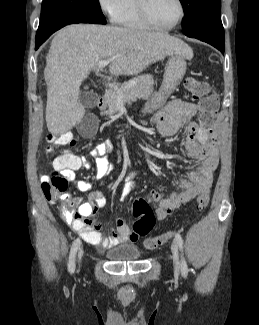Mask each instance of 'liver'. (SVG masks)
Segmentation results:
<instances>
[{
	"label": "liver",
	"mask_w": 259,
	"mask_h": 325,
	"mask_svg": "<svg viewBox=\"0 0 259 325\" xmlns=\"http://www.w3.org/2000/svg\"><path fill=\"white\" fill-rule=\"evenodd\" d=\"M193 56L181 39L162 32L117 26L74 24L59 30L46 57V123L60 136L81 122L85 108L79 102L81 83L103 60L112 75H133L166 56Z\"/></svg>",
	"instance_id": "liver-1"
}]
</instances>
